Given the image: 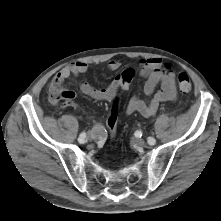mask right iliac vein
Here are the masks:
<instances>
[{"instance_id":"obj_1","label":"right iliac vein","mask_w":221,"mask_h":221,"mask_svg":"<svg viewBox=\"0 0 221 221\" xmlns=\"http://www.w3.org/2000/svg\"><path fill=\"white\" fill-rule=\"evenodd\" d=\"M87 138L88 140L93 141L97 139V135L94 132H88Z\"/></svg>"}]
</instances>
